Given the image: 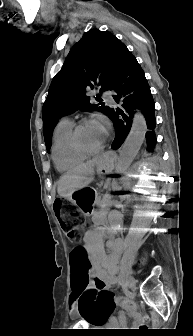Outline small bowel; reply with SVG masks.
I'll list each match as a JSON object with an SVG mask.
<instances>
[{"mask_svg": "<svg viewBox=\"0 0 193 336\" xmlns=\"http://www.w3.org/2000/svg\"><path fill=\"white\" fill-rule=\"evenodd\" d=\"M107 219V211H103L97 216L96 220L100 225L86 234L82 248L96 278L105 287L110 288L116 282L122 242L110 237V228L104 225ZM106 249H109L111 253L107 254ZM72 297L75 299L74 291ZM121 319H124V317H121ZM115 324L116 320L109 318L107 325L113 326Z\"/></svg>", "mask_w": 193, "mask_h": 336, "instance_id": "small-bowel-1", "label": "small bowel"}]
</instances>
